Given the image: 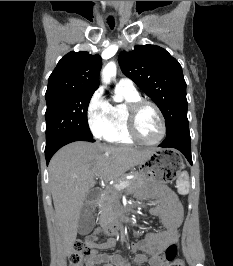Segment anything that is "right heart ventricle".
<instances>
[{"label":"right heart ventricle","instance_id":"e07e8e85","mask_svg":"<svg viewBox=\"0 0 233 266\" xmlns=\"http://www.w3.org/2000/svg\"><path fill=\"white\" fill-rule=\"evenodd\" d=\"M116 92L123 98V102L110 105L112 129L105 139L113 144H132L134 141L128 134L125 108L127 103L141 97L137 91L116 88Z\"/></svg>","mask_w":233,"mask_h":266}]
</instances>
